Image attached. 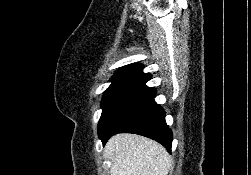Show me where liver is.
Wrapping results in <instances>:
<instances>
[{"label":"liver","mask_w":251,"mask_h":175,"mask_svg":"<svg viewBox=\"0 0 251 175\" xmlns=\"http://www.w3.org/2000/svg\"><path fill=\"white\" fill-rule=\"evenodd\" d=\"M104 151L111 161L110 175H167L171 167L163 145L136 133L112 135Z\"/></svg>","instance_id":"1"}]
</instances>
